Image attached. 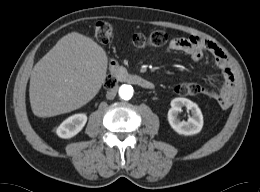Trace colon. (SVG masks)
Masks as SVG:
<instances>
[{
	"label": "colon",
	"instance_id": "5ec220e1",
	"mask_svg": "<svg viewBox=\"0 0 260 192\" xmlns=\"http://www.w3.org/2000/svg\"><path fill=\"white\" fill-rule=\"evenodd\" d=\"M114 28L107 21H98L94 26V34L102 44H106L114 37ZM168 41V35L164 31H154L149 36L134 34L131 38L132 45L137 49L146 47L158 48L164 46ZM106 88H112L115 80L109 75L104 83ZM176 93L180 95H195L199 93L200 86L196 83H181L175 87Z\"/></svg>",
	"mask_w": 260,
	"mask_h": 192
}]
</instances>
